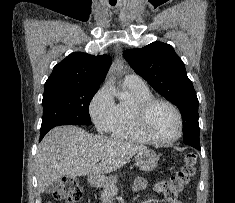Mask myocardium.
I'll return each mask as SVG.
<instances>
[{
    "mask_svg": "<svg viewBox=\"0 0 235 203\" xmlns=\"http://www.w3.org/2000/svg\"><path fill=\"white\" fill-rule=\"evenodd\" d=\"M159 103L169 106L174 111L177 117L178 132L174 137L169 138V139H161V138L154 136L148 128V124H147L148 114L150 110L156 104H159ZM134 116H135V122L139 131L151 142H154L157 144H170L180 139L183 134L184 123H183L182 114L180 110L178 109V107L173 102L167 99L151 97L149 99L137 102L134 106Z\"/></svg>",
    "mask_w": 235,
    "mask_h": 203,
    "instance_id": "f54148a6",
    "label": "myocardium"
}]
</instances>
